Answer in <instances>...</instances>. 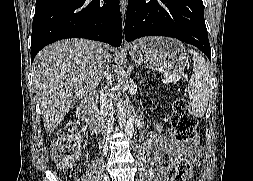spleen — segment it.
<instances>
[{"instance_id":"obj_1","label":"spleen","mask_w":253,"mask_h":181,"mask_svg":"<svg viewBox=\"0 0 253 181\" xmlns=\"http://www.w3.org/2000/svg\"><path fill=\"white\" fill-rule=\"evenodd\" d=\"M193 55V74L188 89L191 93V112L196 117H202L207 108L210 88L209 67L204 57L188 50Z\"/></svg>"}]
</instances>
